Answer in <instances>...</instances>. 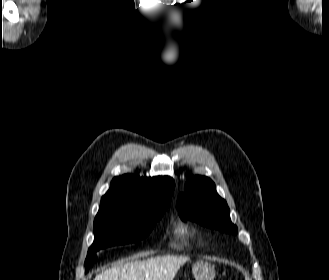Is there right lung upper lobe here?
I'll list each match as a JSON object with an SVG mask.
<instances>
[{
  "label": "right lung upper lobe",
  "instance_id": "1",
  "mask_svg": "<svg viewBox=\"0 0 329 280\" xmlns=\"http://www.w3.org/2000/svg\"><path fill=\"white\" fill-rule=\"evenodd\" d=\"M174 187V180L168 176L140 178L126 174L112 180L101 204L118 202L148 209L156 203L171 201Z\"/></svg>",
  "mask_w": 329,
  "mask_h": 280
}]
</instances>
